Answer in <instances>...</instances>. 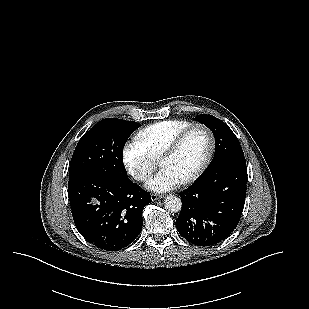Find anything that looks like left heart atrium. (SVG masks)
Instances as JSON below:
<instances>
[{
	"label": "left heart atrium",
	"mask_w": 309,
	"mask_h": 309,
	"mask_svg": "<svg viewBox=\"0 0 309 309\" xmlns=\"http://www.w3.org/2000/svg\"><path fill=\"white\" fill-rule=\"evenodd\" d=\"M181 180L170 169L162 168L153 178H151L147 187L154 192H167L176 188Z\"/></svg>",
	"instance_id": "1"
}]
</instances>
